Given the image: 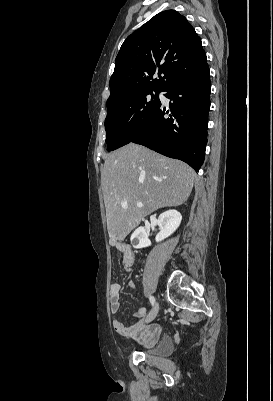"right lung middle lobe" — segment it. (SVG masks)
<instances>
[{
    "mask_svg": "<svg viewBox=\"0 0 273 401\" xmlns=\"http://www.w3.org/2000/svg\"><path fill=\"white\" fill-rule=\"evenodd\" d=\"M159 92V89L142 91L107 106L105 129L108 151L130 143L160 105Z\"/></svg>",
    "mask_w": 273,
    "mask_h": 401,
    "instance_id": "dd1d6c3e",
    "label": "right lung middle lobe"
}]
</instances>
